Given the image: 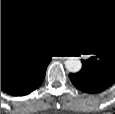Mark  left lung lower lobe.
I'll list each match as a JSON object with an SVG mask.
<instances>
[{"label":"left lung lower lobe","mask_w":115,"mask_h":114,"mask_svg":"<svg viewBox=\"0 0 115 114\" xmlns=\"http://www.w3.org/2000/svg\"><path fill=\"white\" fill-rule=\"evenodd\" d=\"M69 78L78 89L87 93L101 92L115 82V77L89 68L69 74Z\"/></svg>","instance_id":"obj_1"}]
</instances>
